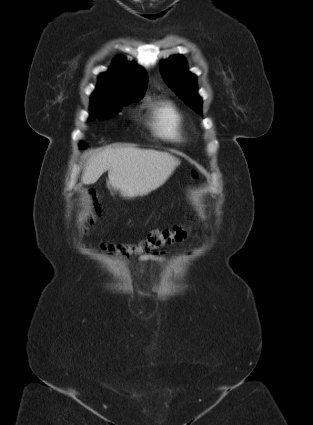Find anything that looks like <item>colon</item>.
Returning <instances> with one entry per match:
<instances>
[{
	"instance_id": "colon-1",
	"label": "colon",
	"mask_w": 313,
	"mask_h": 425,
	"mask_svg": "<svg viewBox=\"0 0 313 425\" xmlns=\"http://www.w3.org/2000/svg\"><path fill=\"white\" fill-rule=\"evenodd\" d=\"M195 177L196 173L192 172ZM101 209L97 203H94L93 210L85 216L83 220V231L86 232L88 227L95 221L96 216L100 213ZM189 234L187 228L183 226H175L173 228L163 230H152L147 237L136 244H105L102 249L111 254H117L124 257L131 255H144L152 254L161 250L164 247L170 246L174 243L183 241Z\"/></svg>"
}]
</instances>
